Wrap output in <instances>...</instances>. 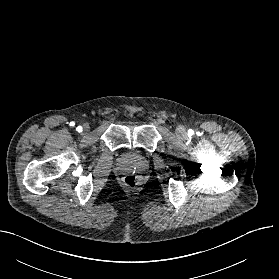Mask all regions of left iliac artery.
Wrapping results in <instances>:
<instances>
[{"label":"left iliac artery","mask_w":279,"mask_h":279,"mask_svg":"<svg viewBox=\"0 0 279 279\" xmlns=\"http://www.w3.org/2000/svg\"><path fill=\"white\" fill-rule=\"evenodd\" d=\"M193 133H194V132H193V130H191V129H190V130H188V135H190V136H191V135H193Z\"/></svg>","instance_id":"1"}]
</instances>
